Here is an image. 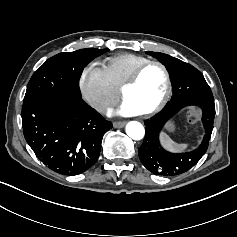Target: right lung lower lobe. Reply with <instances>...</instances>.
Instances as JSON below:
<instances>
[{
  "label": "right lung lower lobe",
  "mask_w": 237,
  "mask_h": 237,
  "mask_svg": "<svg viewBox=\"0 0 237 237\" xmlns=\"http://www.w3.org/2000/svg\"><path fill=\"white\" fill-rule=\"evenodd\" d=\"M25 139L51 170L78 175L97 161L103 135L111 129L81 96L61 95L22 107Z\"/></svg>",
  "instance_id": "98d812e1"
}]
</instances>
